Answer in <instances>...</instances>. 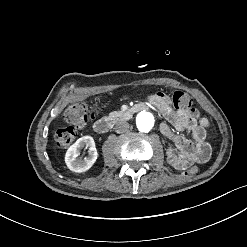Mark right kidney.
Wrapping results in <instances>:
<instances>
[{
    "label": "right kidney",
    "mask_w": 247,
    "mask_h": 247,
    "mask_svg": "<svg viewBox=\"0 0 247 247\" xmlns=\"http://www.w3.org/2000/svg\"><path fill=\"white\" fill-rule=\"evenodd\" d=\"M84 147L88 148V156L81 159L79 155ZM97 156L94 139L91 136H83L69 147L65 155V163L71 171L81 173L92 167Z\"/></svg>",
    "instance_id": "obj_1"
}]
</instances>
